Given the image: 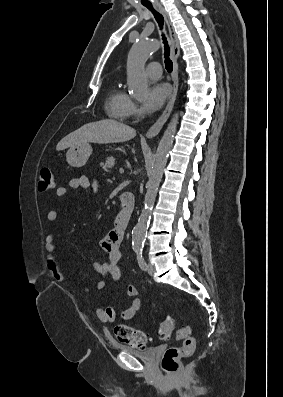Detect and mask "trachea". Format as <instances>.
I'll use <instances>...</instances> for the list:
<instances>
[{"label":"trachea","mask_w":283,"mask_h":397,"mask_svg":"<svg viewBox=\"0 0 283 397\" xmlns=\"http://www.w3.org/2000/svg\"><path fill=\"white\" fill-rule=\"evenodd\" d=\"M154 15L156 21L159 24L160 29L163 28V23H164V19L163 16L160 15L159 13H157L153 7L151 5H145ZM163 43H164V57H165V68L166 70L171 73L173 70V64L172 61L169 58V54H170V48L169 45L167 43L166 37L163 35Z\"/></svg>","instance_id":"3493384b"}]
</instances>
